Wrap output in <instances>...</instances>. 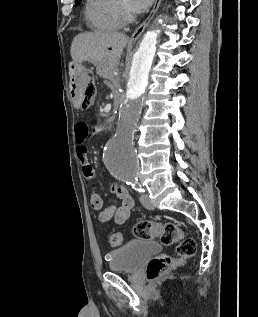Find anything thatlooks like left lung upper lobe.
I'll return each mask as SVG.
<instances>
[{
  "label": "left lung upper lobe",
  "mask_w": 258,
  "mask_h": 317,
  "mask_svg": "<svg viewBox=\"0 0 258 317\" xmlns=\"http://www.w3.org/2000/svg\"><path fill=\"white\" fill-rule=\"evenodd\" d=\"M81 0H75L76 5L80 3Z\"/></svg>",
  "instance_id": "1"
}]
</instances>
